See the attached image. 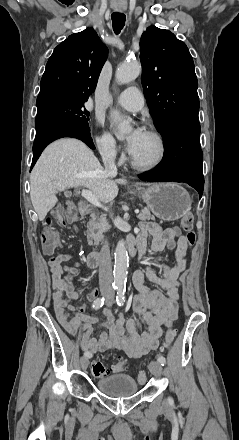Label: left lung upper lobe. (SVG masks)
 I'll use <instances>...</instances> for the list:
<instances>
[{"label": "left lung upper lobe", "instance_id": "obj_1", "mask_svg": "<svg viewBox=\"0 0 239 440\" xmlns=\"http://www.w3.org/2000/svg\"><path fill=\"white\" fill-rule=\"evenodd\" d=\"M140 61L144 94L162 137L177 124L199 122L197 77L185 43L150 26L140 39Z\"/></svg>", "mask_w": 239, "mask_h": 440}]
</instances>
